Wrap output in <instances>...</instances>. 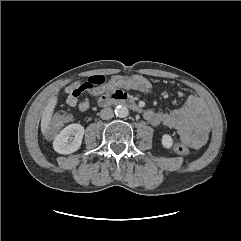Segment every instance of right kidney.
<instances>
[{"mask_svg": "<svg viewBox=\"0 0 241 241\" xmlns=\"http://www.w3.org/2000/svg\"><path fill=\"white\" fill-rule=\"evenodd\" d=\"M84 127L80 124L66 126L54 139L53 148L60 154H71L77 151L82 143Z\"/></svg>", "mask_w": 241, "mask_h": 241, "instance_id": "1", "label": "right kidney"}]
</instances>
